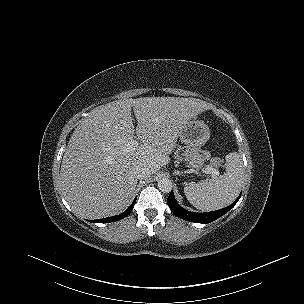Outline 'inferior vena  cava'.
<instances>
[{
    "mask_svg": "<svg viewBox=\"0 0 304 304\" xmlns=\"http://www.w3.org/2000/svg\"><path fill=\"white\" fill-rule=\"evenodd\" d=\"M152 172L147 167H138L135 170V176L137 179H147L151 176Z\"/></svg>",
    "mask_w": 304,
    "mask_h": 304,
    "instance_id": "obj_1",
    "label": "inferior vena cava"
}]
</instances>
